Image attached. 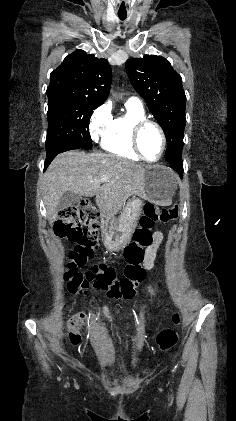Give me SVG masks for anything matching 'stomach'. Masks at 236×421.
Here are the masks:
<instances>
[{
    "mask_svg": "<svg viewBox=\"0 0 236 421\" xmlns=\"http://www.w3.org/2000/svg\"><path fill=\"white\" fill-rule=\"evenodd\" d=\"M144 176L146 200L154 204H166L168 200H171L177 182L168 166H161V164L146 166ZM142 208L143 200L139 196H133L126 202V206L117 219L105 217L107 227L104 245L107 251H119L130 243L142 215Z\"/></svg>",
    "mask_w": 236,
    "mask_h": 421,
    "instance_id": "stomach-1",
    "label": "stomach"
}]
</instances>
